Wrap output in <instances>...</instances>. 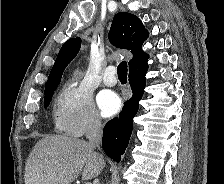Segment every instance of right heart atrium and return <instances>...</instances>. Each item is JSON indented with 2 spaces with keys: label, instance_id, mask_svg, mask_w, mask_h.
Segmentation results:
<instances>
[{
  "label": "right heart atrium",
  "instance_id": "right-heart-atrium-1",
  "mask_svg": "<svg viewBox=\"0 0 224 184\" xmlns=\"http://www.w3.org/2000/svg\"><path fill=\"white\" fill-rule=\"evenodd\" d=\"M55 123L60 131L74 137L101 128L91 93L81 82L71 81L62 88L56 101Z\"/></svg>",
  "mask_w": 224,
  "mask_h": 184
}]
</instances>
